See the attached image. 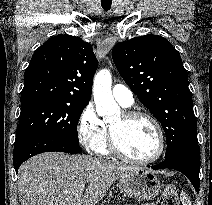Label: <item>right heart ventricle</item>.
I'll return each instance as SVG.
<instances>
[{
    "label": "right heart ventricle",
    "instance_id": "e07e8e85",
    "mask_svg": "<svg viewBox=\"0 0 212 205\" xmlns=\"http://www.w3.org/2000/svg\"><path fill=\"white\" fill-rule=\"evenodd\" d=\"M103 124H104L103 136L93 151L99 155L107 156L111 154L108 145V125L105 122H103Z\"/></svg>",
    "mask_w": 212,
    "mask_h": 205
}]
</instances>
